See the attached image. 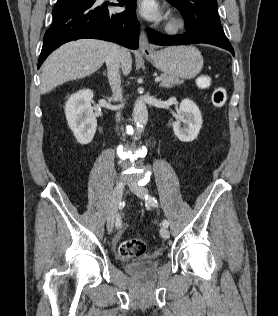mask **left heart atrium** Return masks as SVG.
<instances>
[{
  "label": "left heart atrium",
  "instance_id": "left-heart-atrium-1",
  "mask_svg": "<svg viewBox=\"0 0 278 316\" xmlns=\"http://www.w3.org/2000/svg\"><path fill=\"white\" fill-rule=\"evenodd\" d=\"M140 11L144 17L156 20L160 17L159 5L155 0H142Z\"/></svg>",
  "mask_w": 278,
  "mask_h": 316
}]
</instances>
